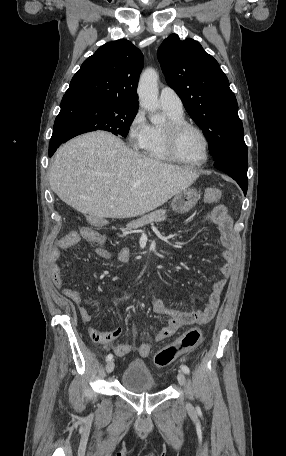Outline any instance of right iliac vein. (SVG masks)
<instances>
[{
	"instance_id": "63e3f726",
	"label": "right iliac vein",
	"mask_w": 286,
	"mask_h": 456,
	"mask_svg": "<svg viewBox=\"0 0 286 456\" xmlns=\"http://www.w3.org/2000/svg\"><path fill=\"white\" fill-rule=\"evenodd\" d=\"M115 364L114 361H109L106 365V372L110 374L114 370Z\"/></svg>"
}]
</instances>
